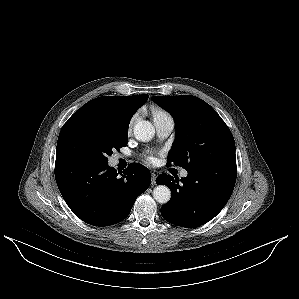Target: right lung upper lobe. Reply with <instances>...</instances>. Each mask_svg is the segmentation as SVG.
<instances>
[{"label":"right lung upper lobe","instance_id":"1","mask_svg":"<svg viewBox=\"0 0 299 299\" xmlns=\"http://www.w3.org/2000/svg\"><path fill=\"white\" fill-rule=\"evenodd\" d=\"M148 95L98 97L78 109L80 113H94L112 118L121 125H128L133 114L148 99Z\"/></svg>","mask_w":299,"mask_h":299}]
</instances>
